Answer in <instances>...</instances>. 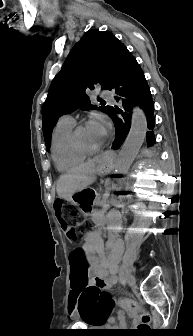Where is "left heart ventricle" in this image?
Returning <instances> with one entry per match:
<instances>
[{"instance_id":"left-heart-ventricle-1","label":"left heart ventricle","mask_w":193,"mask_h":336,"mask_svg":"<svg viewBox=\"0 0 193 336\" xmlns=\"http://www.w3.org/2000/svg\"><path fill=\"white\" fill-rule=\"evenodd\" d=\"M79 138L83 144L89 147L98 146L100 143H102L103 140L89 127V125H86L82 130H80Z\"/></svg>"}]
</instances>
